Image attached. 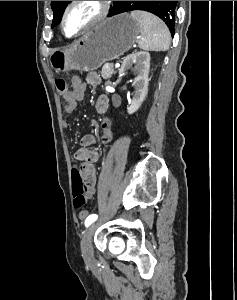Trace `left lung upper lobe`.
<instances>
[{
	"label": "left lung upper lobe",
	"instance_id": "obj_1",
	"mask_svg": "<svg viewBox=\"0 0 237 300\" xmlns=\"http://www.w3.org/2000/svg\"><path fill=\"white\" fill-rule=\"evenodd\" d=\"M71 1H52L51 8L54 12L52 27L57 25L62 17L63 11ZM177 1H113V12L116 14L144 10L160 17L168 26L171 34L175 29V9Z\"/></svg>",
	"mask_w": 237,
	"mask_h": 300
}]
</instances>
